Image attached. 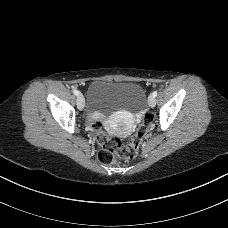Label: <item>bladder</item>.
<instances>
[{"instance_id":"1","label":"bladder","mask_w":228,"mask_h":228,"mask_svg":"<svg viewBox=\"0 0 228 228\" xmlns=\"http://www.w3.org/2000/svg\"><path fill=\"white\" fill-rule=\"evenodd\" d=\"M88 118L96 120L119 110L139 112L146 95L141 85L135 82L94 81L87 91Z\"/></svg>"}]
</instances>
